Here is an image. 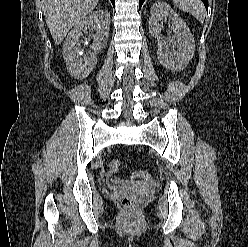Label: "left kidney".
<instances>
[{
  "mask_svg": "<svg viewBox=\"0 0 248 247\" xmlns=\"http://www.w3.org/2000/svg\"><path fill=\"white\" fill-rule=\"evenodd\" d=\"M149 32L158 39L157 56L160 64L166 69L181 71L192 59L195 40L186 23L166 3H155L150 10ZM171 25L174 36L171 39H160L163 25L167 21ZM177 47L172 50L170 47Z\"/></svg>",
  "mask_w": 248,
  "mask_h": 247,
  "instance_id": "left-kidney-1",
  "label": "left kidney"
}]
</instances>
